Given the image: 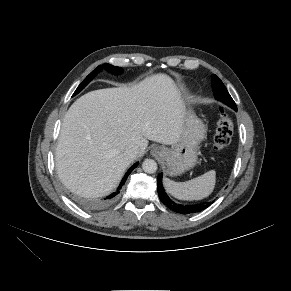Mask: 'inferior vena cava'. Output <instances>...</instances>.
Wrapping results in <instances>:
<instances>
[{
    "mask_svg": "<svg viewBox=\"0 0 291 291\" xmlns=\"http://www.w3.org/2000/svg\"><path fill=\"white\" fill-rule=\"evenodd\" d=\"M138 152H139V148L133 145L127 148L124 154L128 159L132 160L137 156Z\"/></svg>",
    "mask_w": 291,
    "mask_h": 291,
    "instance_id": "1",
    "label": "inferior vena cava"
}]
</instances>
